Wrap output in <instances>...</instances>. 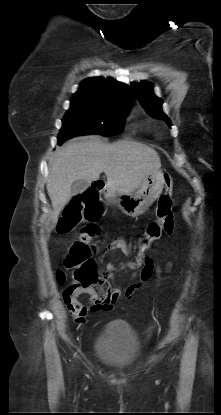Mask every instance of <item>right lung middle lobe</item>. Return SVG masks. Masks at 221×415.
I'll return each instance as SVG.
<instances>
[{"label": "right lung middle lobe", "instance_id": "obj_1", "mask_svg": "<svg viewBox=\"0 0 221 415\" xmlns=\"http://www.w3.org/2000/svg\"><path fill=\"white\" fill-rule=\"evenodd\" d=\"M128 107L100 105L89 102H71L62 120L58 136L61 144L78 135L100 134L113 136L123 131Z\"/></svg>", "mask_w": 221, "mask_h": 415}]
</instances>
